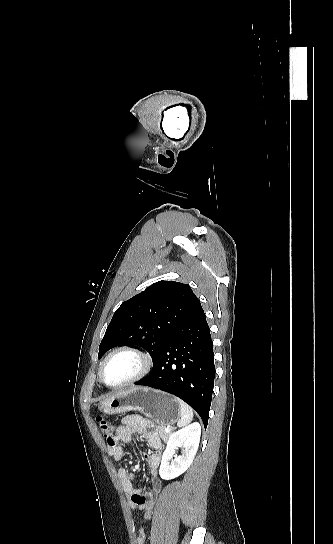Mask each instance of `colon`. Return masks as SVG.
<instances>
[{"mask_svg":"<svg viewBox=\"0 0 333 544\" xmlns=\"http://www.w3.org/2000/svg\"><path fill=\"white\" fill-rule=\"evenodd\" d=\"M96 422H97L98 428H99L100 432L103 434V436L107 440L110 439L111 436H112V429H111L110 423L101 416H98L96 418Z\"/></svg>","mask_w":333,"mask_h":544,"instance_id":"5ec220e1","label":"colon"}]
</instances>
